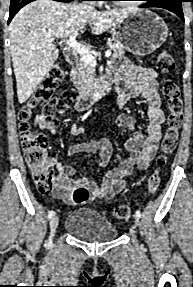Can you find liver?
Listing matches in <instances>:
<instances>
[{
    "label": "liver",
    "instance_id": "obj_1",
    "mask_svg": "<svg viewBox=\"0 0 193 287\" xmlns=\"http://www.w3.org/2000/svg\"><path fill=\"white\" fill-rule=\"evenodd\" d=\"M132 12L97 11L88 4L53 0H36L23 7L9 25L18 102L33 94L57 60L59 50L51 40L78 35L87 24L93 35H100Z\"/></svg>",
    "mask_w": 193,
    "mask_h": 287
}]
</instances>
